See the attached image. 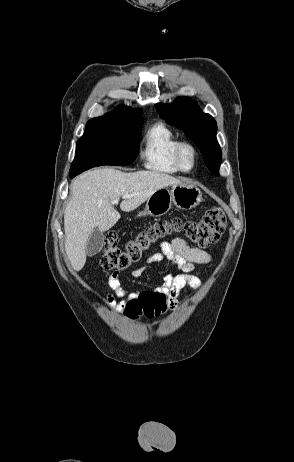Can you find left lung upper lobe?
Segmentation results:
<instances>
[{
	"label": "left lung upper lobe",
	"mask_w": 294,
	"mask_h": 462,
	"mask_svg": "<svg viewBox=\"0 0 294 462\" xmlns=\"http://www.w3.org/2000/svg\"><path fill=\"white\" fill-rule=\"evenodd\" d=\"M155 107L167 123L176 125L194 141L207 167L218 174L222 153L216 140L217 125L213 117L203 113L197 102L187 97H179L169 105L156 104Z\"/></svg>",
	"instance_id": "5c2ea615"
}]
</instances>
